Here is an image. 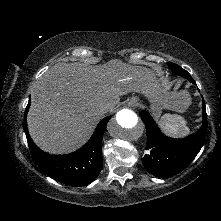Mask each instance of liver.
I'll return each instance as SVG.
<instances>
[{
    "label": "liver",
    "instance_id": "6515ba94",
    "mask_svg": "<svg viewBox=\"0 0 221 221\" xmlns=\"http://www.w3.org/2000/svg\"><path fill=\"white\" fill-rule=\"evenodd\" d=\"M130 92L149 100L163 99L164 108L183 112L179 95L167 96L155 73L113 59L103 65L57 63L36 82L27 123L43 151L63 154L81 147L93 133L103 105L111 111Z\"/></svg>",
    "mask_w": 221,
    "mask_h": 221
}]
</instances>
